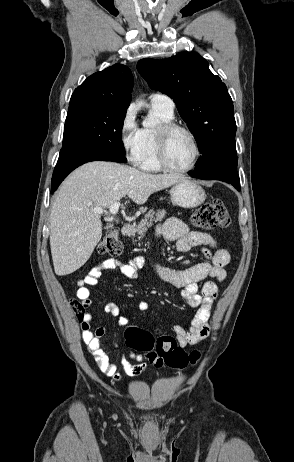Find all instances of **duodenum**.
Here are the masks:
<instances>
[{"label":"duodenum","instance_id":"obj_1","mask_svg":"<svg viewBox=\"0 0 294 462\" xmlns=\"http://www.w3.org/2000/svg\"><path fill=\"white\" fill-rule=\"evenodd\" d=\"M133 226L131 224H125L123 225V227L121 228V233L122 235L124 236H129L133 233Z\"/></svg>","mask_w":294,"mask_h":462}]
</instances>
